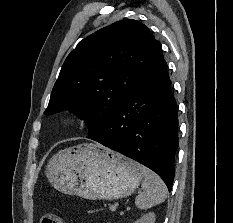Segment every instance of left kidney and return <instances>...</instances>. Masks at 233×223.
<instances>
[{"instance_id": "5707ae66", "label": "left kidney", "mask_w": 233, "mask_h": 223, "mask_svg": "<svg viewBox=\"0 0 233 223\" xmlns=\"http://www.w3.org/2000/svg\"><path fill=\"white\" fill-rule=\"evenodd\" d=\"M155 219V213L149 211V213H145V215H142V217L137 219V221H134V223H155Z\"/></svg>"}]
</instances>
